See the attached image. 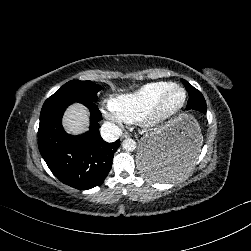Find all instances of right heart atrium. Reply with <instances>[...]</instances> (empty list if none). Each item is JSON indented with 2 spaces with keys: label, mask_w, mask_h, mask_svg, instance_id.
I'll use <instances>...</instances> for the list:
<instances>
[{
  "label": "right heart atrium",
  "mask_w": 251,
  "mask_h": 251,
  "mask_svg": "<svg viewBox=\"0 0 251 251\" xmlns=\"http://www.w3.org/2000/svg\"><path fill=\"white\" fill-rule=\"evenodd\" d=\"M102 111L106 119L118 126L130 122V120L120 112L114 100H104L102 102Z\"/></svg>",
  "instance_id": "right-heart-atrium-1"
}]
</instances>
